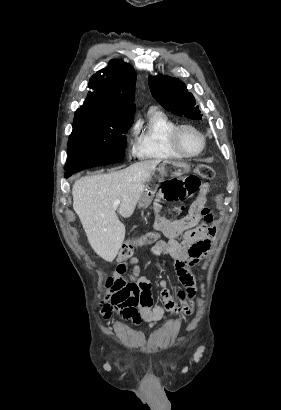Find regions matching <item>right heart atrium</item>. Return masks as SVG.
<instances>
[{
	"label": "right heart atrium",
	"mask_w": 281,
	"mask_h": 410,
	"mask_svg": "<svg viewBox=\"0 0 281 410\" xmlns=\"http://www.w3.org/2000/svg\"><path fill=\"white\" fill-rule=\"evenodd\" d=\"M137 128H138V126H137L136 123H132L131 126L128 128L127 135H126L127 136L128 146L132 145V139L136 135Z\"/></svg>",
	"instance_id": "obj_1"
}]
</instances>
